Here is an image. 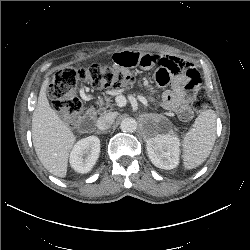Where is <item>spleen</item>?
<instances>
[{
	"instance_id": "3e777b00",
	"label": "spleen",
	"mask_w": 250,
	"mask_h": 250,
	"mask_svg": "<svg viewBox=\"0 0 250 250\" xmlns=\"http://www.w3.org/2000/svg\"><path fill=\"white\" fill-rule=\"evenodd\" d=\"M216 139V113L208 109L199 114L183 139V165L193 169L210 155Z\"/></svg>"
}]
</instances>
